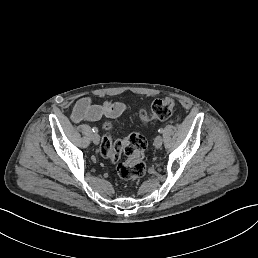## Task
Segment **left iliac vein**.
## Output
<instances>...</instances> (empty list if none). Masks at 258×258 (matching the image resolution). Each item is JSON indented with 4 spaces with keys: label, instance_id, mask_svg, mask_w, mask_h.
Listing matches in <instances>:
<instances>
[{
    "label": "left iliac vein",
    "instance_id": "obj_1",
    "mask_svg": "<svg viewBox=\"0 0 258 258\" xmlns=\"http://www.w3.org/2000/svg\"><path fill=\"white\" fill-rule=\"evenodd\" d=\"M154 145L157 148H160L163 145V139L161 135H156L154 139Z\"/></svg>",
    "mask_w": 258,
    "mask_h": 258
}]
</instances>
